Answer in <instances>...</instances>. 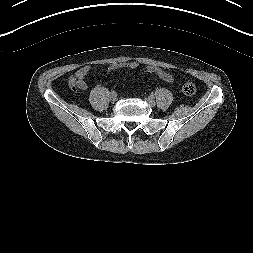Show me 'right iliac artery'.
Segmentation results:
<instances>
[{
  "mask_svg": "<svg viewBox=\"0 0 253 253\" xmlns=\"http://www.w3.org/2000/svg\"><path fill=\"white\" fill-rule=\"evenodd\" d=\"M110 94H111V95H115L116 92H115L114 90H112V91L110 92Z\"/></svg>",
  "mask_w": 253,
  "mask_h": 253,
  "instance_id": "82829eb1",
  "label": "right iliac artery"
}]
</instances>
